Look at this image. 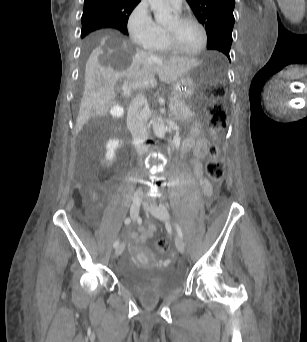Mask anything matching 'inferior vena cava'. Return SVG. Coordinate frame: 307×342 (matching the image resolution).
Wrapping results in <instances>:
<instances>
[{
    "instance_id": "602c4592",
    "label": "inferior vena cava",
    "mask_w": 307,
    "mask_h": 342,
    "mask_svg": "<svg viewBox=\"0 0 307 342\" xmlns=\"http://www.w3.org/2000/svg\"><path fill=\"white\" fill-rule=\"evenodd\" d=\"M144 106H147V98L143 94H138L132 100L127 114V128L132 134L133 144L138 156L148 152L147 146L144 144L148 138L145 128L146 114ZM138 192H141V190H138Z\"/></svg>"
}]
</instances>
